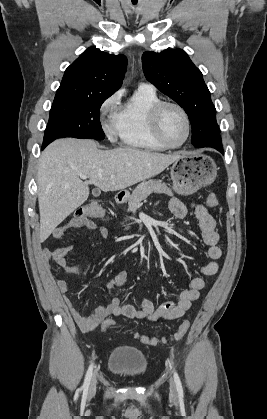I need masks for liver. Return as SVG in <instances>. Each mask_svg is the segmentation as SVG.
Masks as SVG:
<instances>
[{
	"label": "liver",
	"instance_id": "6515ba94",
	"mask_svg": "<svg viewBox=\"0 0 267 419\" xmlns=\"http://www.w3.org/2000/svg\"><path fill=\"white\" fill-rule=\"evenodd\" d=\"M181 156L131 147L103 151L93 140H55L38 164L40 241L88 199L90 184L104 192L122 190L161 173Z\"/></svg>",
	"mask_w": 267,
	"mask_h": 419
}]
</instances>
